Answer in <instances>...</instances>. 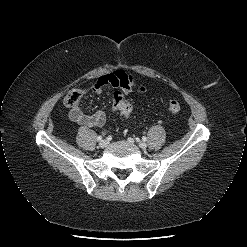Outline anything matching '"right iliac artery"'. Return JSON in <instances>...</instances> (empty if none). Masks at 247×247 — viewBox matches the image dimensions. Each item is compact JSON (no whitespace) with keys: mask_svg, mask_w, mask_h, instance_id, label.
I'll list each match as a JSON object with an SVG mask.
<instances>
[{"mask_svg":"<svg viewBox=\"0 0 247 247\" xmlns=\"http://www.w3.org/2000/svg\"><path fill=\"white\" fill-rule=\"evenodd\" d=\"M101 140H102V136H98L97 141H101Z\"/></svg>","mask_w":247,"mask_h":247,"instance_id":"1","label":"right iliac artery"}]
</instances>
